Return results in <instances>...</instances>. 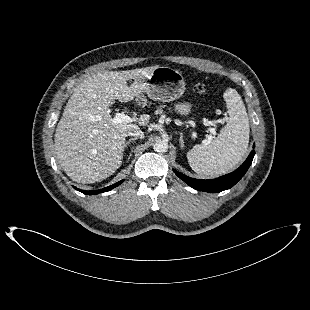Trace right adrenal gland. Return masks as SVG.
<instances>
[{
	"instance_id": "1",
	"label": "right adrenal gland",
	"mask_w": 310,
	"mask_h": 310,
	"mask_svg": "<svg viewBox=\"0 0 310 310\" xmlns=\"http://www.w3.org/2000/svg\"><path fill=\"white\" fill-rule=\"evenodd\" d=\"M136 140H137V138H131V139H129V140L125 143L124 148H127V146L130 144V142L136 141ZM131 155H132V153H130L128 160L130 159Z\"/></svg>"
}]
</instances>
